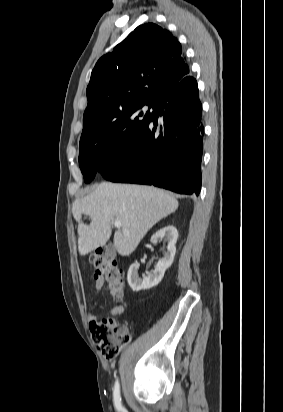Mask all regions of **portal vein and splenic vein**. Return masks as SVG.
Instances as JSON below:
<instances>
[{
    "mask_svg": "<svg viewBox=\"0 0 283 412\" xmlns=\"http://www.w3.org/2000/svg\"><path fill=\"white\" fill-rule=\"evenodd\" d=\"M113 225H114L116 228H121V222H120V221H114V222H113Z\"/></svg>",
    "mask_w": 283,
    "mask_h": 412,
    "instance_id": "1",
    "label": "portal vein and splenic vein"
}]
</instances>
